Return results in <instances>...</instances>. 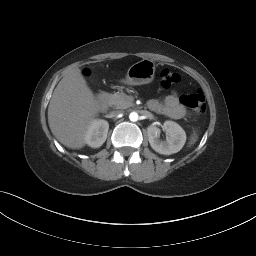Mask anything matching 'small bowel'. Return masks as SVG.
<instances>
[{"label": "small bowel", "instance_id": "1", "mask_svg": "<svg viewBox=\"0 0 256 256\" xmlns=\"http://www.w3.org/2000/svg\"><path fill=\"white\" fill-rule=\"evenodd\" d=\"M149 107L156 113L171 119H183L188 115L187 110L180 104L176 93L169 94L162 101H150Z\"/></svg>", "mask_w": 256, "mask_h": 256}]
</instances>
